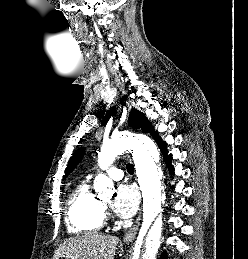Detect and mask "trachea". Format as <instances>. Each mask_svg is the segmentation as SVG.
<instances>
[{"label": "trachea", "mask_w": 248, "mask_h": 259, "mask_svg": "<svg viewBox=\"0 0 248 259\" xmlns=\"http://www.w3.org/2000/svg\"><path fill=\"white\" fill-rule=\"evenodd\" d=\"M127 171L132 174L134 173V166L132 164H127Z\"/></svg>", "instance_id": "trachea-1"}]
</instances>
